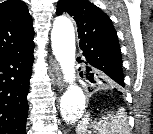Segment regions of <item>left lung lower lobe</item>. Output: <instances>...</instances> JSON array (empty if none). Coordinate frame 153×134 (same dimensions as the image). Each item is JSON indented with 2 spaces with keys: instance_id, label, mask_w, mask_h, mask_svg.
Instances as JSON below:
<instances>
[{
  "instance_id": "left-lung-lower-lobe-1",
  "label": "left lung lower lobe",
  "mask_w": 153,
  "mask_h": 134,
  "mask_svg": "<svg viewBox=\"0 0 153 134\" xmlns=\"http://www.w3.org/2000/svg\"><path fill=\"white\" fill-rule=\"evenodd\" d=\"M86 71H87V79L88 84L90 85L91 88H94L98 85H100L101 83H105V74L101 73L100 71L96 70L95 68H93L90 65L86 66ZM88 87V88H90ZM93 91V89L91 90ZM114 91H116L119 94H122V92L114 89Z\"/></svg>"
}]
</instances>
